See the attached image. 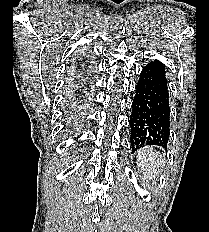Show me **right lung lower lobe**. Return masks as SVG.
<instances>
[{
  "label": "right lung lower lobe",
  "mask_w": 209,
  "mask_h": 232,
  "mask_svg": "<svg viewBox=\"0 0 209 232\" xmlns=\"http://www.w3.org/2000/svg\"><path fill=\"white\" fill-rule=\"evenodd\" d=\"M87 60H88V56L81 54L79 56V58L77 59V62L81 63V64H87Z\"/></svg>",
  "instance_id": "right-lung-lower-lobe-1"
}]
</instances>
